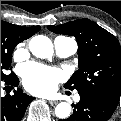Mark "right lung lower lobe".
<instances>
[{
    "label": "right lung lower lobe",
    "instance_id": "1",
    "mask_svg": "<svg viewBox=\"0 0 121 121\" xmlns=\"http://www.w3.org/2000/svg\"><path fill=\"white\" fill-rule=\"evenodd\" d=\"M4 81L14 87L19 84V79L13 72ZM33 99L34 97L24 94L21 89L14 91L12 96L1 97V121H20Z\"/></svg>",
    "mask_w": 121,
    "mask_h": 121
}]
</instances>
